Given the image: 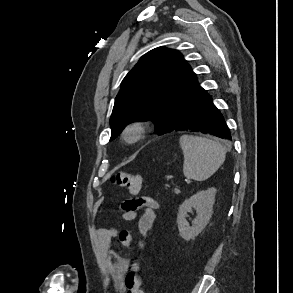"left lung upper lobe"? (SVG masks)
Returning a JSON list of instances; mask_svg holds the SVG:
<instances>
[{
  "instance_id": "left-lung-upper-lobe-1",
  "label": "left lung upper lobe",
  "mask_w": 293,
  "mask_h": 293,
  "mask_svg": "<svg viewBox=\"0 0 293 293\" xmlns=\"http://www.w3.org/2000/svg\"><path fill=\"white\" fill-rule=\"evenodd\" d=\"M206 91L176 50L159 47L125 76L110 118L111 138L136 121H152L157 134L173 131L186 106Z\"/></svg>"
}]
</instances>
